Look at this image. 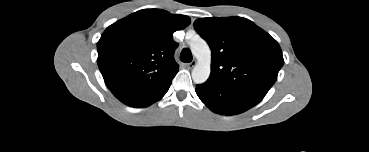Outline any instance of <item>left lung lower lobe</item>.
I'll return each mask as SVG.
<instances>
[{"mask_svg":"<svg viewBox=\"0 0 369 152\" xmlns=\"http://www.w3.org/2000/svg\"><path fill=\"white\" fill-rule=\"evenodd\" d=\"M201 101L213 112L222 115H236L258 104L263 97L225 88L211 81L196 86Z\"/></svg>","mask_w":369,"mask_h":152,"instance_id":"obj_1","label":"left lung lower lobe"}]
</instances>
